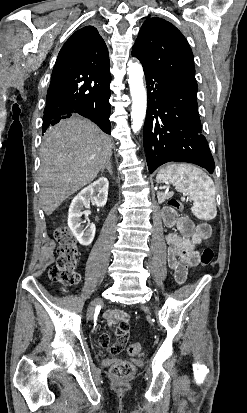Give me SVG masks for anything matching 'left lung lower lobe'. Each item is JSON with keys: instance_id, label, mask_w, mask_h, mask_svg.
Returning <instances> with one entry per match:
<instances>
[{"instance_id": "obj_1", "label": "left lung lower lobe", "mask_w": 247, "mask_h": 413, "mask_svg": "<svg viewBox=\"0 0 247 413\" xmlns=\"http://www.w3.org/2000/svg\"><path fill=\"white\" fill-rule=\"evenodd\" d=\"M142 65L148 95L143 139L150 173L170 161L193 163L213 173L215 164L202 135L197 90Z\"/></svg>"}]
</instances>
